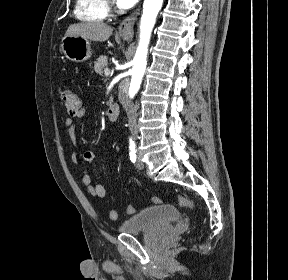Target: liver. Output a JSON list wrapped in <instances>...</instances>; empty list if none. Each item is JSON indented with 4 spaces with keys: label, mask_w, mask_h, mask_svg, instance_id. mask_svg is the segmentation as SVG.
<instances>
[{
    "label": "liver",
    "mask_w": 288,
    "mask_h": 280,
    "mask_svg": "<svg viewBox=\"0 0 288 280\" xmlns=\"http://www.w3.org/2000/svg\"><path fill=\"white\" fill-rule=\"evenodd\" d=\"M113 32V28L104 23H77L70 25L65 36H81L92 41L104 42Z\"/></svg>",
    "instance_id": "obj_1"
}]
</instances>
